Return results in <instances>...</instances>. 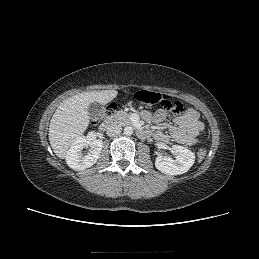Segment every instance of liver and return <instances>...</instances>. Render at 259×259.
Masks as SVG:
<instances>
[{"label":"liver","mask_w":259,"mask_h":259,"mask_svg":"<svg viewBox=\"0 0 259 259\" xmlns=\"http://www.w3.org/2000/svg\"><path fill=\"white\" fill-rule=\"evenodd\" d=\"M116 90L76 94L64 100L53 114L49 125V141L54 153L65 158L71 144L87 129L88 107L93 102L107 104L117 96Z\"/></svg>","instance_id":"6515ba94"}]
</instances>
